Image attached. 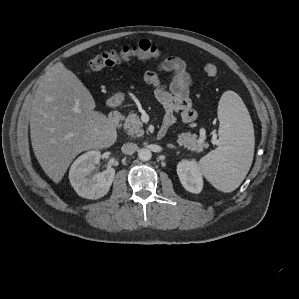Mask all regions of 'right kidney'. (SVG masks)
Wrapping results in <instances>:
<instances>
[{"mask_svg": "<svg viewBox=\"0 0 299 299\" xmlns=\"http://www.w3.org/2000/svg\"><path fill=\"white\" fill-rule=\"evenodd\" d=\"M101 153L97 150L80 155L71 165L69 180L76 193L87 199H98L106 195L115 176L114 168L96 172Z\"/></svg>", "mask_w": 299, "mask_h": 299, "instance_id": "ca27d5eb", "label": "right kidney"}]
</instances>
